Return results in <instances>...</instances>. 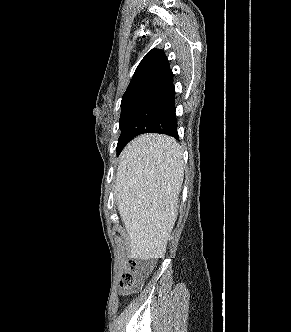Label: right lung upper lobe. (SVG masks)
<instances>
[{
  "mask_svg": "<svg viewBox=\"0 0 291 332\" xmlns=\"http://www.w3.org/2000/svg\"><path fill=\"white\" fill-rule=\"evenodd\" d=\"M173 79V73L163 50L149 51L138 67L122 100L134 96H147Z\"/></svg>",
  "mask_w": 291,
  "mask_h": 332,
  "instance_id": "1",
  "label": "right lung upper lobe"
}]
</instances>
